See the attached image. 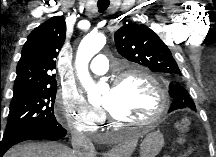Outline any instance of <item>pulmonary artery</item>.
Masks as SVG:
<instances>
[{
	"mask_svg": "<svg viewBox=\"0 0 216 157\" xmlns=\"http://www.w3.org/2000/svg\"><path fill=\"white\" fill-rule=\"evenodd\" d=\"M90 70L95 74H104L108 71L109 61L106 55L98 54L89 64Z\"/></svg>",
	"mask_w": 216,
	"mask_h": 157,
	"instance_id": "1",
	"label": "pulmonary artery"
}]
</instances>
